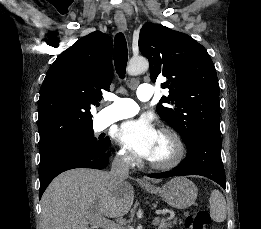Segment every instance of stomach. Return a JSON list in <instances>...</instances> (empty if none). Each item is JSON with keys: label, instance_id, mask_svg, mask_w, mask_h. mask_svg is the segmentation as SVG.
Segmentation results:
<instances>
[{"label": "stomach", "instance_id": "0dacf381", "mask_svg": "<svg viewBox=\"0 0 261 229\" xmlns=\"http://www.w3.org/2000/svg\"><path fill=\"white\" fill-rule=\"evenodd\" d=\"M148 193L151 195H157L159 193L160 197H163L164 201L174 207V209H188L191 205H194L198 189L195 187L192 181L185 179V177H175L171 179L169 183L163 185V187H145Z\"/></svg>", "mask_w": 261, "mask_h": 229}]
</instances>
